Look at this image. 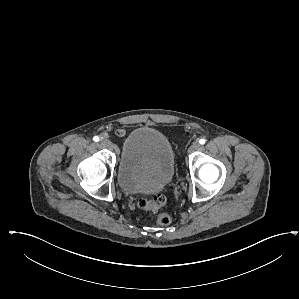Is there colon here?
<instances>
[{"label": "colon", "mask_w": 299, "mask_h": 299, "mask_svg": "<svg viewBox=\"0 0 299 299\" xmlns=\"http://www.w3.org/2000/svg\"><path fill=\"white\" fill-rule=\"evenodd\" d=\"M166 204V198L162 195H157L152 199L141 198L138 201V207L146 210L155 212L158 211ZM157 223L163 226L169 225L171 223V217L165 212H160L157 215Z\"/></svg>", "instance_id": "1"}]
</instances>
